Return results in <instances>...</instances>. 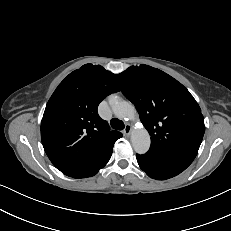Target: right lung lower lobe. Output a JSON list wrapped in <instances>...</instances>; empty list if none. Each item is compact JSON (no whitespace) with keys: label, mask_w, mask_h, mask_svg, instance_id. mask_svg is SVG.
<instances>
[{"label":"right lung lower lobe","mask_w":231,"mask_h":231,"mask_svg":"<svg viewBox=\"0 0 231 231\" xmlns=\"http://www.w3.org/2000/svg\"><path fill=\"white\" fill-rule=\"evenodd\" d=\"M112 155V150H110L107 154H105L102 158H100L97 162L92 164L91 166L85 168L84 170L70 176L73 178H86L94 176L98 173V171L103 168L106 163L109 161L110 157Z\"/></svg>","instance_id":"obj_1"}]
</instances>
